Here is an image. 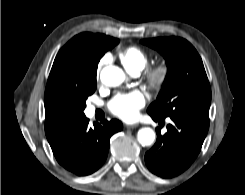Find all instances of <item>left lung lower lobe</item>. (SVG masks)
I'll list each match as a JSON object with an SVG mask.
<instances>
[{
  "label": "left lung lower lobe",
  "mask_w": 245,
  "mask_h": 195,
  "mask_svg": "<svg viewBox=\"0 0 245 195\" xmlns=\"http://www.w3.org/2000/svg\"><path fill=\"white\" fill-rule=\"evenodd\" d=\"M153 120L160 121L150 115ZM167 133L157 130L154 146L145 154L148 169L163 178H171L184 172L196 159L207 135L209 122L170 117Z\"/></svg>",
  "instance_id": "obj_1"
}]
</instances>
